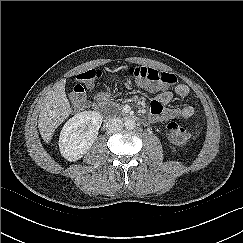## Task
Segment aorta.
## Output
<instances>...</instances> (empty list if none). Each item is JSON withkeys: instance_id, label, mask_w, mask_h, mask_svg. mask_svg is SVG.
<instances>
[{"instance_id": "1", "label": "aorta", "mask_w": 243, "mask_h": 243, "mask_svg": "<svg viewBox=\"0 0 243 243\" xmlns=\"http://www.w3.org/2000/svg\"><path fill=\"white\" fill-rule=\"evenodd\" d=\"M124 126L127 130H133L136 127V123L133 119H127L124 122Z\"/></svg>"}]
</instances>
